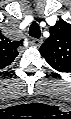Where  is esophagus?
<instances>
[{"instance_id":"obj_1","label":"esophagus","mask_w":71,"mask_h":119,"mask_svg":"<svg viewBox=\"0 0 71 119\" xmlns=\"http://www.w3.org/2000/svg\"><path fill=\"white\" fill-rule=\"evenodd\" d=\"M42 43H43L42 39H32L31 40V44L36 47H40Z\"/></svg>"}]
</instances>
